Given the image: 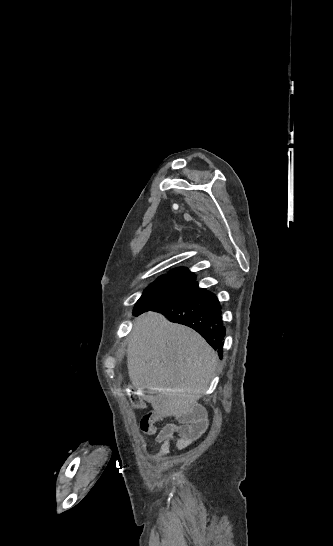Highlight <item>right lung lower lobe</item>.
<instances>
[{
	"label": "right lung lower lobe",
	"mask_w": 333,
	"mask_h": 546,
	"mask_svg": "<svg viewBox=\"0 0 333 546\" xmlns=\"http://www.w3.org/2000/svg\"><path fill=\"white\" fill-rule=\"evenodd\" d=\"M149 310L164 314L172 322L193 328L218 350L220 358L222 357L225 327L219 301L210 291L198 288L191 294L159 304ZM145 311L148 310H134L133 315L138 316Z\"/></svg>",
	"instance_id": "obj_1"
}]
</instances>
